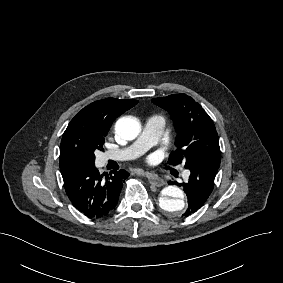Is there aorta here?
<instances>
[{"instance_id": "obj_1", "label": "aorta", "mask_w": 283, "mask_h": 283, "mask_svg": "<svg viewBox=\"0 0 283 283\" xmlns=\"http://www.w3.org/2000/svg\"><path fill=\"white\" fill-rule=\"evenodd\" d=\"M141 131L140 122L131 116L120 118L115 124V132L125 140H134ZM159 206L175 216H179L185 209L183 191L177 186H167L162 190Z\"/></svg>"}]
</instances>
